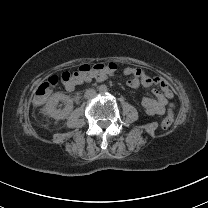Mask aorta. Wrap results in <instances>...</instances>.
Segmentation results:
<instances>
[{"label": "aorta", "instance_id": "1", "mask_svg": "<svg viewBox=\"0 0 208 208\" xmlns=\"http://www.w3.org/2000/svg\"><path fill=\"white\" fill-rule=\"evenodd\" d=\"M98 91H99L100 94L105 95V94L108 93L109 88H108L107 85L102 84V85L99 86Z\"/></svg>", "mask_w": 208, "mask_h": 208}]
</instances>
